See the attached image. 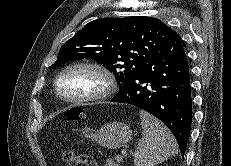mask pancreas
Segmentation results:
<instances>
[{"mask_svg":"<svg viewBox=\"0 0 231 166\" xmlns=\"http://www.w3.org/2000/svg\"><path fill=\"white\" fill-rule=\"evenodd\" d=\"M115 160L116 161L108 159L104 166H119V163L122 161V159H118V157H116Z\"/></svg>","mask_w":231,"mask_h":166,"instance_id":"cf45deb5","label":"pancreas"}]
</instances>
